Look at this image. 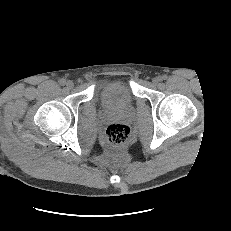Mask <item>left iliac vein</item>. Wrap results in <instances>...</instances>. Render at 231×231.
I'll list each match as a JSON object with an SVG mask.
<instances>
[{"instance_id": "4c4485c4", "label": "left iliac vein", "mask_w": 231, "mask_h": 231, "mask_svg": "<svg viewBox=\"0 0 231 231\" xmlns=\"http://www.w3.org/2000/svg\"><path fill=\"white\" fill-rule=\"evenodd\" d=\"M159 81H160V78H159V77H155V78L152 79V82H153V84H155V85L158 84Z\"/></svg>"}]
</instances>
